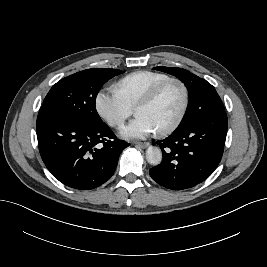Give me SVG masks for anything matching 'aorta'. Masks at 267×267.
I'll return each instance as SVG.
<instances>
[{"instance_id": "obj_1", "label": "aorta", "mask_w": 267, "mask_h": 267, "mask_svg": "<svg viewBox=\"0 0 267 267\" xmlns=\"http://www.w3.org/2000/svg\"><path fill=\"white\" fill-rule=\"evenodd\" d=\"M146 159L151 165H158L162 161V152L158 147L150 146L146 150Z\"/></svg>"}]
</instances>
